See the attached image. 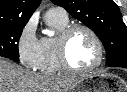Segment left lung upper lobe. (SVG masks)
I'll return each instance as SVG.
<instances>
[{
	"mask_svg": "<svg viewBox=\"0 0 127 92\" xmlns=\"http://www.w3.org/2000/svg\"><path fill=\"white\" fill-rule=\"evenodd\" d=\"M92 29L106 50V63L127 56V28L113 0H51Z\"/></svg>",
	"mask_w": 127,
	"mask_h": 92,
	"instance_id": "5c2ea615",
	"label": "left lung upper lobe"
}]
</instances>
